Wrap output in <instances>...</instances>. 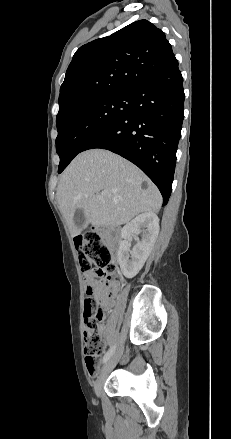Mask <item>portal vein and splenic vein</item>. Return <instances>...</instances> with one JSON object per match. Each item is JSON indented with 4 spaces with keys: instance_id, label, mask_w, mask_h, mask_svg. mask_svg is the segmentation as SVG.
<instances>
[{
    "instance_id": "obj_1",
    "label": "portal vein and splenic vein",
    "mask_w": 231,
    "mask_h": 439,
    "mask_svg": "<svg viewBox=\"0 0 231 439\" xmlns=\"http://www.w3.org/2000/svg\"><path fill=\"white\" fill-rule=\"evenodd\" d=\"M96 197H97V199L101 200V199H103V194H99Z\"/></svg>"
}]
</instances>
